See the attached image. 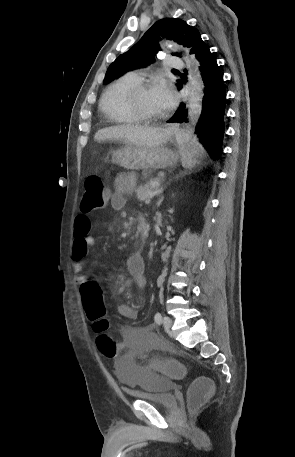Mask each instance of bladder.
Returning a JSON list of instances; mask_svg holds the SVG:
<instances>
[{
    "instance_id": "obj_1",
    "label": "bladder",
    "mask_w": 295,
    "mask_h": 457,
    "mask_svg": "<svg viewBox=\"0 0 295 457\" xmlns=\"http://www.w3.org/2000/svg\"><path fill=\"white\" fill-rule=\"evenodd\" d=\"M140 349L142 351L150 349L160 354H170L172 351L170 345H161L159 342L150 344L142 342ZM138 352L137 345H126L123 358L114 364V373L118 382L133 397L156 403L165 407L166 411H175L178 400L170 390V383L174 378H163V374H149L146 366H141L142 359L136 356Z\"/></svg>"
}]
</instances>
